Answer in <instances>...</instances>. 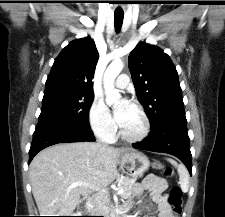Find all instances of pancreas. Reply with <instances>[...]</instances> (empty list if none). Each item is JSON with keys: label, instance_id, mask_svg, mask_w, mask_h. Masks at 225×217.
<instances>
[{"label": "pancreas", "instance_id": "1", "mask_svg": "<svg viewBox=\"0 0 225 217\" xmlns=\"http://www.w3.org/2000/svg\"><path fill=\"white\" fill-rule=\"evenodd\" d=\"M135 181L136 178H128V177L117 178L118 188L123 189V193L121 194V197L123 199H127L131 196ZM101 206L106 213L111 211L110 200L105 195L101 196Z\"/></svg>", "mask_w": 225, "mask_h": 217}]
</instances>
